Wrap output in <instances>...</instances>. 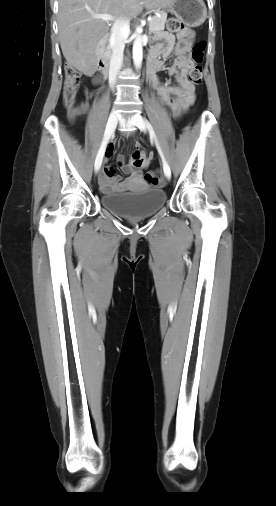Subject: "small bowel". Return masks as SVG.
Returning <instances> with one entry per match:
<instances>
[{
    "instance_id": "obj_1",
    "label": "small bowel",
    "mask_w": 276,
    "mask_h": 506,
    "mask_svg": "<svg viewBox=\"0 0 276 506\" xmlns=\"http://www.w3.org/2000/svg\"><path fill=\"white\" fill-rule=\"evenodd\" d=\"M193 33L185 29L183 33H179L178 42L175 44L174 36L169 34L161 35V42L154 44L149 51L147 79L151 86L155 87L158 97L162 102L169 105L173 116H180L186 108L195 100L194 86L187 78V71L191 67V61L188 58L189 40ZM175 56L174 64L169 68V74L175 76L178 85H171L168 82L161 81L156 72L165 68L161 56L169 58ZM93 83L98 85L100 77L93 76ZM88 109V103L80 104L79 112H85ZM135 148L139 149V143H135ZM113 155V143H111L105 153V157L110 159ZM153 159L152 154H146L144 151H137L128 163L125 157L119 155L117 164L120 169L127 175L122 180L115 172V169L109 162L104 165L99 179V187L102 191L109 192L114 190H125L138 183L142 177V170L149 167Z\"/></svg>"
}]
</instances>
